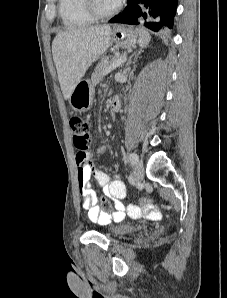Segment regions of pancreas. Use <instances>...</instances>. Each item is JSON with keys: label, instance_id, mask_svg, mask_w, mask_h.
Masks as SVG:
<instances>
[{"label": "pancreas", "instance_id": "pancreas-1", "mask_svg": "<svg viewBox=\"0 0 227 298\" xmlns=\"http://www.w3.org/2000/svg\"><path fill=\"white\" fill-rule=\"evenodd\" d=\"M122 55H116L111 60L109 57H103L101 61L98 63L94 73L91 76L92 85L96 86L100 83V81L105 76V70L109 67V65L115 61L116 59L120 58Z\"/></svg>", "mask_w": 227, "mask_h": 298}]
</instances>
